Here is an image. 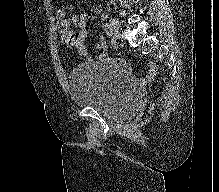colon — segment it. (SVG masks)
<instances>
[{"label":"colon","instance_id":"5ec220e1","mask_svg":"<svg viewBox=\"0 0 219 192\" xmlns=\"http://www.w3.org/2000/svg\"><path fill=\"white\" fill-rule=\"evenodd\" d=\"M67 29L68 28V23L66 21V19H64L63 17H61L58 21V29ZM113 63L116 65H124V63L120 60H113Z\"/></svg>","mask_w":219,"mask_h":192}]
</instances>
